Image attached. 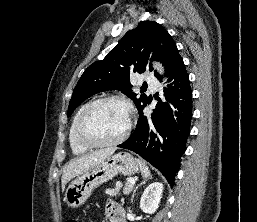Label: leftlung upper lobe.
Here are the masks:
<instances>
[{
	"label": "left lung upper lobe",
	"instance_id": "5c2ea615",
	"mask_svg": "<svg viewBox=\"0 0 257 222\" xmlns=\"http://www.w3.org/2000/svg\"><path fill=\"white\" fill-rule=\"evenodd\" d=\"M160 61L166 69V73L178 61L181 56L170 34L160 24L154 21H142L119 41L103 60L91 64L82 74L77 83L68 113L70 116L75 108L92 95L107 90H122L131 98L138 111L147 103V96L132 92L130 73H143L148 66V58ZM155 76H161L155 71Z\"/></svg>",
	"mask_w": 257,
	"mask_h": 222
}]
</instances>
